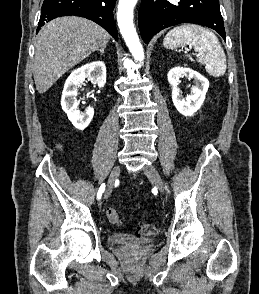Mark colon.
<instances>
[{
	"label": "colon",
	"mask_w": 259,
	"mask_h": 294,
	"mask_svg": "<svg viewBox=\"0 0 259 294\" xmlns=\"http://www.w3.org/2000/svg\"><path fill=\"white\" fill-rule=\"evenodd\" d=\"M107 218L109 222L115 226L122 224L121 218L116 209L110 207L107 209ZM157 232V227L151 223H142L137 228L136 234L140 237L152 236Z\"/></svg>",
	"instance_id": "5ec220e1"
}]
</instances>
